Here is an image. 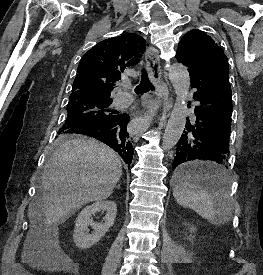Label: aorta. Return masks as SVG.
Instances as JSON below:
<instances>
[{"instance_id":"1","label":"aorta","mask_w":263,"mask_h":275,"mask_svg":"<svg viewBox=\"0 0 263 275\" xmlns=\"http://www.w3.org/2000/svg\"><path fill=\"white\" fill-rule=\"evenodd\" d=\"M169 78L175 90L176 100L163 135L162 149L165 151L177 144L185 128L188 114L187 96L190 87L189 72L182 64H173L170 67Z\"/></svg>"}]
</instances>
